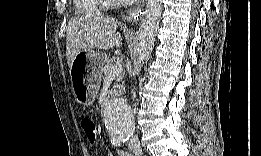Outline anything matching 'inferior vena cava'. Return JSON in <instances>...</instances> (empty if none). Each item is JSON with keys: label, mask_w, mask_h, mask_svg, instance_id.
I'll return each mask as SVG.
<instances>
[{"label": "inferior vena cava", "mask_w": 261, "mask_h": 156, "mask_svg": "<svg viewBox=\"0 0 261 156\" xmlns=\"http://www.w3.org/2000/svg\"><path fill=\"white\" fill-rule=\"evenodd\" d=\"M138 136L137 135H135V136H132L131 138H130V143L131 144H138Z\"/></svg>", "instance_id": "602c4592"}]
</instances>
